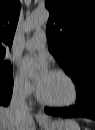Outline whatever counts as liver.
<instances>
[{
  "label": "liver",
  "instance_id": "6515ba94",
  "mask_svg": "<svg viewBox=\"0 0 95 130\" xmlns=\"http://www.w3.org/2000/svg\"><path fill=\"white\" fill-rule=\"evenodd\" d=\"M0 130H36V126L30 113H27L18 120L9 107H1Z\"/></svg>",
  "mask_w": 95,
  "mask_h": 130
}]
</instances>
